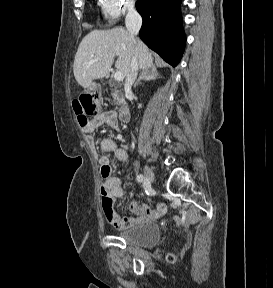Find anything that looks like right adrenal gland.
<instances>
[{
    "instance_id": "1",
    "label": "right adrenal gland",
    "mask_w": 273,
    "mask_h": 288,
    "mask_svg": "<svg viewBox=\"0 0 273 288\" xmlns=\"http://www.w3.org/2000/svg\"><path fill=\"white\" fill-rule=\"evenodd\" d=\"M158 78V72L155 66L145 69L141 72L139 78L134 83V88L141 82V80H156Z\"/></svg>"
}]
</instances>
